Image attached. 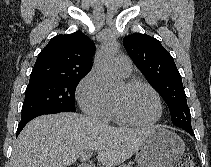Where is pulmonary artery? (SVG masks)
I'll return each mask as SVG.
<instances>
[{
	"label": "pulmonary artery",
	"instance_id": "obj_1",
	"mask_svg": "<svg viewBox=\"0 0 211 167\" xmlns=\"http://www.w3.org/2000/svg\"><path fill=\"white\" fill-rule=\"evenodd\" d=\"M115 69L123 76H128L132 71V62L126 55H119L114 60Z\"/></svg>",
	"mask_w": 211,
	"mask_h": 167
}]
</instances>
